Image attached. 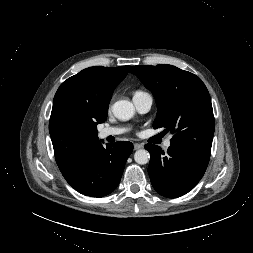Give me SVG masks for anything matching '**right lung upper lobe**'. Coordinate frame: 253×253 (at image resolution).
Wrapping results in <instances>:
<instances>
[{
	"label": "right lung upper lobe",
	"mask_w": 253,
	"mask_h": 253,
	"mask_svg": "<svg viewBox=\"0 0 253 253\" xmlns=\"http://www.w3.org/2000/svg\"><path fill=\"white\" fill-rule=\"evenodd\" d=\"M130 66L90 67L68 78L58 88L49 122L55 159L60 170L99 140L97 125L107 119L116 86Z\"/></svg>",
	"instance_id": "cb5924a9"
}]
</instances>
